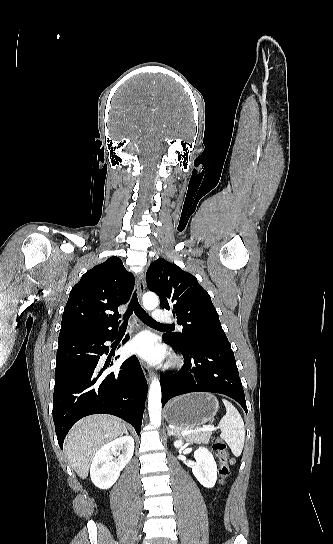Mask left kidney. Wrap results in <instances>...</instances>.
Listing matches in <instances>:
<instances>
[{
	"label": "left kidney",
	"mask_w": 333,
	"mask_h": 544,
	"mask_svg": "<svg viewBox=\"0 0 333 544\" xmlns=\"http://www.w3.org/2000/svg\"><path fill=\"white\" fill-rule=\"evenodd\" d=\"M182 440L174 442L176 448H181ZM196 464L192 468V472L197 480L206 488H212L217 480V465L213 455L204 447H199L194 453Z\"/></svg>",
	"instance_id": "left-kidney-1"
}]
</instances>
